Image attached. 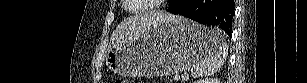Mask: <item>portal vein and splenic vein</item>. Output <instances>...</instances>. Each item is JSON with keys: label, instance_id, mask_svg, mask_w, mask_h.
Masks as SVG:
<instances>
[{"label": "portal vein and splenic vein", "instance_id": "18ae733b", "mask_svg": "<svg viewBox=\"0 0 307 83\" xmlns=\"http://www.w3.org/2000/svg\"><path fill=\"white\" fill-rule=\"evenodd\" d=\"M173 79L177 80V81L180 80V75H178V74L174 75Z\"/></svg>", "mask_w": 307, "mask_h": 83}]
</instances>
